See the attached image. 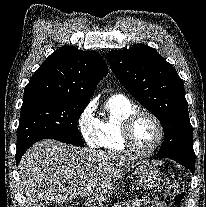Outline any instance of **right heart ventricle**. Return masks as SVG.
I'll list each match as a JSON object with an SVG mask.
<instances>
[{
	"label": "right heart ventricle",
	"instance_id": "obj_1",
	"mask_svg": "<svg viewBox=\"0 0 206 207\" xmlns=\"http://www.w3.org/2000/svg\"><path fill=\"white\" fill-rule=\"evenodd\" d=\"M136 107L127 98L114 95L104 106V116L98 120V145L111 153H124L126 149L121 140V128L125 119Z\"/></svg>",
	"mask_w": 206,
	"mask_h": 207
}]
</instances>
